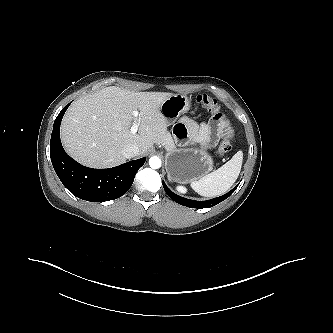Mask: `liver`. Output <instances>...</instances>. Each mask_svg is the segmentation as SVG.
Listing matches in <instances>:
<instances>
[{
	"instance_id": "liver-1",
	"label": "liver",
	"mask_w": 333,
	"mask_h": 333,
	"mask_svg": "<svg viewBox=\"0 0 333 333\" xmlns=\"http://www.w3.org/2000/svg\"><path fill=\"white\" fill-rule=\"evenodd\" d=\"M167 92H135L111 86L77 99L61 124V139L66 151L78 162L96 168L124 163L123 147L135 144L145 155L154 143L169 135L160 108L172 96ZM139 110L138 134H132Z\"/></svg>"
}]
</instances>
